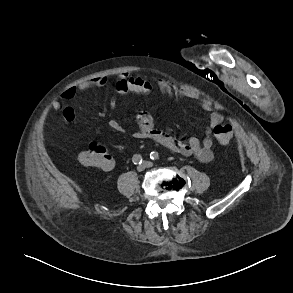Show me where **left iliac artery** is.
<instances>
[{
	"label": "left iliac artery",
	"mask_w": 293,
	"mask_h": 293,
	"mask_svg": "<svg viewBox=\"0 0 293 293\" xmlns=\"http://www.w3.org/2000/svg\"><path fill=\"white\" fill-rule=\"evenodd\" d=\"M150 158H151L152 160H160V155H159L158 152H156V151H152V152L150 153Z\"/></svg>",
	"instance_id": "obj_1"
}]
</instances>
